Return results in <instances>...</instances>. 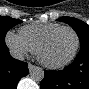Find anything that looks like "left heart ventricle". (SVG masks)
<instances>
[{"instance_id": "1", "label": "left heart ventricle", "mask_w": 89, "mask_h": 89, "mask_svg": "<svg viewBox=\"0 0 89 89\" xmlns=\"http://www.w3.org/2000/svg\"><path fill=\"white\" fill-rule=\"evenodd\" d=\"M76 38L70 30H62L50 40L42 52L43 58L50 63L67 59L74 50Z\"/></svg>"}]
</instances>
